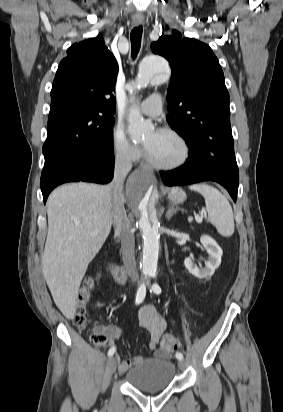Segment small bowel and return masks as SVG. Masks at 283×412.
Here are the masks:
<instances>
[{
	"label": "small bowel",
	"instance_id": "c3829d8e",
	"mask_svg": "<svg viewBox=\"0 0 283 412\" xmlns=\"http://www.w3.org/2000/svg\"><path fill=\"white\" fill-rule=\"evenodd\" d=\"M139 323L150 334L149 349L155 352L157 357H164L165 355L157 350L159 340L166 329V319L156 310L152 304H144L140 307L138 312ZM108 337V344L112 346L117 339H119L123 333L122 329L116 325H104L100 328ZM114 347V346H113ZM143 357H134L127 360H121L116 357L119 362V372L124 374L130 368L138 365L143 361Z\"/></svg>",
	"mask_w": 283,
	"mask_h": 412
}]
</instances>
